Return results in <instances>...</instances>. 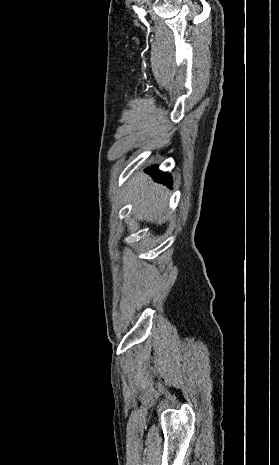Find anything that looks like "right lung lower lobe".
I'll use <instances>...</instances> for the list:
<instances>
[{"label": "right lung lower lobe", "instance_id": "obj_1", "mask_svg": "<svg viewBox=\"0 0 279 465\" xmlns=\"http://www.w3.org/2000/svg\"><path fill=\"white\" fill-rule=\"evenodd\" d=\"M146 172L150 174L156 181H160L162 184L171 185L172 184V177L167 173L158 170V167L152 166L151 168L148 167Z\"/></svg>", "mask_w": 279, "mask_h": 465}]
</instances>
